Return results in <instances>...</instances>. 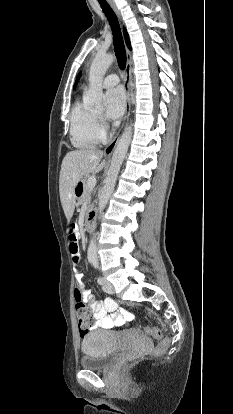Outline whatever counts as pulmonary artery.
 I'll return each mask as SVG.
<instances>
[{"label":"pulmonary artery","instance_id":"obj_1","mask_svg":"<svg viewBox=\"0 0 233 414\" xmlns=\"http://www.w3.org/2000/svg\"><path fill=\"white\" fill-rule=\"evenodd\" d=\"M119 83V77L116 74H110L106 76L103 81L102 85L106 88L113 87Z\"/></svg>","mask_w":233,"mask_h":414}]
</instances>
